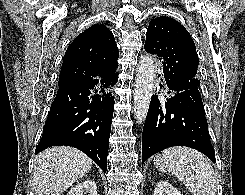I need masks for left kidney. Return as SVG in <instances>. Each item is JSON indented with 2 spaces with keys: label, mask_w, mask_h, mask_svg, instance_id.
<instances>
[{
  "label": "left kidney",
  "mask_w": 245,
  "mask_h": 195,
  "mask_svg": "<svg viewBox=\"0 0 245 195\" xmlns=\"http://www.w3.org/2000/svg\"><path fill=\"white\" fill-rule=\"evenodd\" d=\"M154 195H182L176 188L166 181H160L154 189Z\"/></svg>",
  "instance_id": "obj_1"
}]
</instances>
